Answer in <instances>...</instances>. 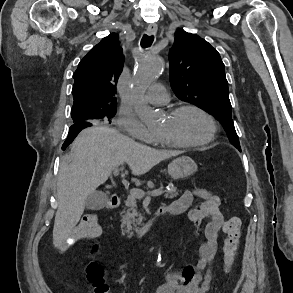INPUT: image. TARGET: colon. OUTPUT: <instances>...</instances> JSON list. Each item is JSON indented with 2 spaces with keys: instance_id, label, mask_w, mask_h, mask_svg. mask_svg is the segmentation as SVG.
Here are the masks:
<instances>
[{
  "instance_id": "obj_1",
  "label": "colon",
  "mask_w": 293,
  "mask_h": 293,
  "mask_svg": "<svg viewBox=\"0 0 293 293\" xmlns=\"http://www.w3.org/2000/svg\"><path fill=\"white\" fill-rule=\"evenodd\" d=\"M242 223L237 217L228 219L224 226L223 232L225 240L223 245V262L225 268H229L237 255L240 243ZM101 229L98 223V216L93 213L86 214L74 228L69 238L65 241L66 244L79 241H95L99 238ZM98 244H94L92 249L97 251ZM86 279L91 286V293H109V287L105 281V272L97 260L91 259L86 266Z\"/></svg>"
}]
</instances>
